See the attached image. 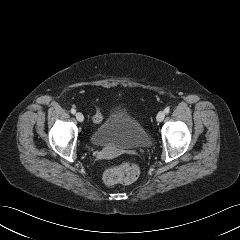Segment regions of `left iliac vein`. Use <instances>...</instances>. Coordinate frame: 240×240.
Here are the masks:
<instances>
[{
  "instance_id": "left-iliac-vein-1",
  "label": "left iliac vein",
  "mask_w": 240,
  "mask_h": 240,
  "mask_svg": "<svg viewBox=\"0 0 240 240\" xmlns=\"http://www.w3.org/2000/svg\"><path fill=\"white\" fill-rule=\"evenodd\" d=\"M164 117H165V112L164 111H159L156 119H157L158 122H161V121H163Z\"/></svg>"
}]
</instances>
